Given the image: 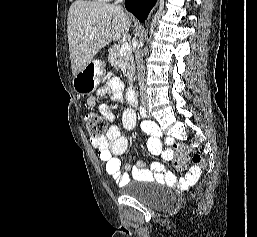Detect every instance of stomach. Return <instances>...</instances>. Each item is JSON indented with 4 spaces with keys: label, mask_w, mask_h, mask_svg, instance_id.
<instances>
[{
    "label": "stomach",
    "mask_w": 257,
    "mask_h": 237,
    "mask_svg": "<svg viewBox=\"0 0 257 237\" xmlns=\"http://www.w3.org/2000/svg\"><path fill=\"white\" fill-rule=\"evenodd\" d=\"M104 74L103 63L98 60H92L74 76L72 82L74 91L80 95L92 93L97 88Z\"/></svg>",
    "instance_id": "stomach-1"
}]
</instances>
